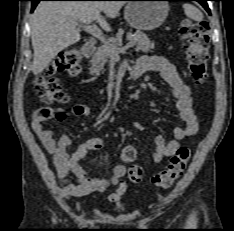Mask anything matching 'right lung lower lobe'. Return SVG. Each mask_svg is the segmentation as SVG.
<instances>
[{
	"mask_svg": "<svg viewBox=\"0 0 234 231\" xmlns=\"http://www.w3.org/2000/svg\"><path fill=\"white\" fill-rule=\"evenodd\" d=\"M32 1V8L31 11H34L36 5L40 2V1H77V0H30ZM83 1H95V0H83ZM101 1H108V0H101Z\"/></svg>",
	"mask_w": 234,
	"mask_h": 231,
	"instance_id": "right-lung-lower-lobe-1",
	"label": "right lung lower lobe"
}]
</instances>
